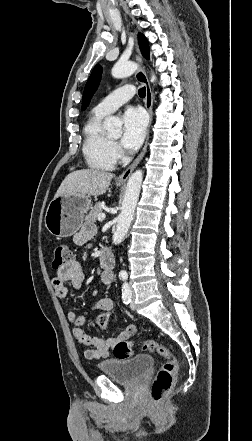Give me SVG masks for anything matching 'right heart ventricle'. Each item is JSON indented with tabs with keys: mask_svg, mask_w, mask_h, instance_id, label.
<instances>
[{
	"mask_svg": "<svg viewBox=\"0 0 252 441\" xmlns=\"http://www.w3.org/2000/svg\"><path fill=\"white\" fill-rule=\"evenodd\" d=\"M106 115L96 110L83 127L82 153L87 166L94 170L111 171L116 165L113 144L105 134L102 121Z\"/></svg>",
	"mask_w": 252,
	"mask_h": 441,
	"instance_id": "obj_1",
	"label": "right heart ventricle"
}]
</instances>
